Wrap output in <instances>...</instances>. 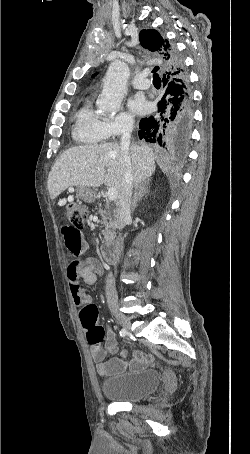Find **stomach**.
<instances>
[{
	"label": "stomach",
	"instance_id": "0dacf381",
	"mask_svg": "<svg viewBox=\"0 0 250 454\" xmlns=\"http://www.w3.org/2000/svg\"><path fill=\"white\" fill-rule=\"evenodd\" d=\"M77 197L85 202L92 203L96 199V192L90 187H78Z\"/></svg>",
	"mask_w": 250,
	"mask_h": 454
}]
</instances>
